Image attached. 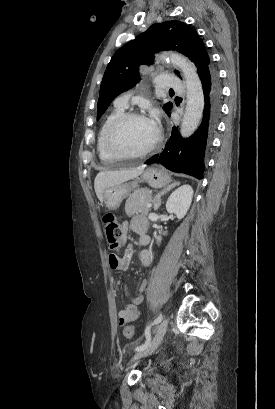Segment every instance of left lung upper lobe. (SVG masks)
Wrapping results in <instances>:
<instances>
[{"mask_svg": "<svg viewBox=\"0 0 275 409\" xmlns=\"http://www.w3.org/2000/svg\"><path fill=\"white\" fill-rule=\"evenodd\" d=\"M163 50L183 53L195 64L198 74L210 63L205 45L192 27L180 21L153 24L113 55L101 82L97 119L116 96L140 81L139 66L152 64L154 53ZM176 74L180 77L178 71ZM172 105L166 103L164 111L169 114Z\"/></svg>", "mask_w": 275, "mask_h": 409, "instance_id": "5c2ea615", "label": "left lung upper lobe"}]
</instances>
